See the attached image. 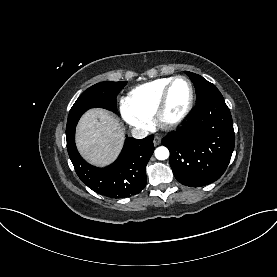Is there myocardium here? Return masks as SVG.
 Returning <instances> with one entry per match:
<instances>
[{
    "instance_id": "1",
    "label": "myocardium",
    "mask_w": 277,
    "mask_h": 277,
    "mask_svg": "<svg viewBox=\"0 0 277 277\" xmlns=\"http://www.w3.org/2000/svg\"><path fill=\"white\" fill-rule=\"evenodd\" d=\"M179 80H184L185 82H187L190 90L189 100L186 107L184 108V110L181 112L179 116H177L174 119H167L165 117V112L167 109L171 89L174 86V84ZM194 100H195V90H194L192 81L188 77L181 76V75L172 78V80L167 84V86L163 90L161 97L158 101V104L156 106L154 116L157 123L167 129L178 127L185 121V119L190 114L194 105Z\"/></svg>"
}]
</instances>
